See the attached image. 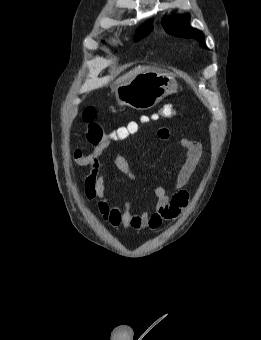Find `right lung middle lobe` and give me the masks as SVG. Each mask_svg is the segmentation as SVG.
Returning <instances> with one entry per match:
<instances>
[{"mask_svg":"<svg viewBox=\"0 0 261 340\" xmlns=\"http://www.w3.org/2000/svg\"><path fill=\"white\" fill-rule=\"evenodd\" d=\"M152 23H147L141 26L138 30V32L135 35V41H139L140 39L144 38L147 36L150 31L152 30Z\"/></svg>","mask_w":261,"mask_h":340,"instance_id":"obj_1","label":"right lung middle lobe"}]
</instances>
